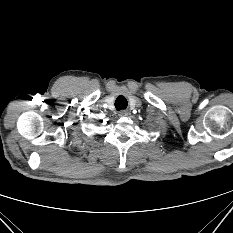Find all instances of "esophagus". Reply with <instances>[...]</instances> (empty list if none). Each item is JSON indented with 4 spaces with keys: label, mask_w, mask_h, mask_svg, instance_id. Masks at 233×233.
<instances>
[{
    "label": "esophagus",
    "mask_w": 233,
    "mask_h": 233,
    "mask_svg": "<svg viewBox=\"0 0 233 233\" xmlns=\"http://www.w3.org/2000/svg\"><path fill=\"white\" fill-rule=\"evenodd\" d=\"M128 114H129V112L126 111V110H122V111L119 112V116H121V117H125V116H127Z\"/></svg>",
    "instance_id": "obj_1"
}]
</instances>
